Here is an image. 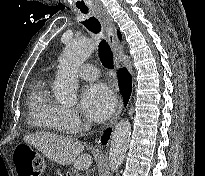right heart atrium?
Returning a JSON list of instances; mask_svg holds the SVG:
<instances>
[{
    "instance_id": "1",
    "label": "right heart atrium",
    "mask_w": 205,
    "mask_h": 176,
    "mask_svg": "<svg viewBox=\"0 0 205 176\" xmlns=\"http://www.w3.org/2000/svg\"><path fill=\"white\" fill-rule=\"evenodd\" d=\"M61 118L65 126H80L83 119L74 108L61 107Z\"/></svg>"
}]
</instances>
